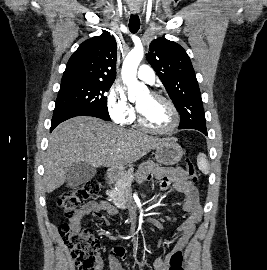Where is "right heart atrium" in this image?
Masks as SVG:
<instances>
[{
  "label": "right heart atrium",
  "mask_w": 267,
  "mask_h": 270,
  "mask_svg": "<svg viewBox=\"0 0 267 270\" xmlns=\"http://www.w3.org/2000/svg\"><path fill=\"white\" fill-rule=\"evenodd\" d=\"M107 108L111 118L120 124H128L135 118V111L119 85L111 87L107 97Z\"/></svg>",
  "instance_id": "d8ad5b80"
}]
</instances>
